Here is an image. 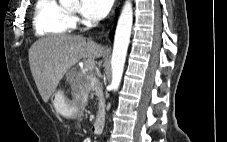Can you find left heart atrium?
Listing matches in <instances>:
<instances>
[{
    "label": "left heart atrium",
    "instance_id": "left-heart-atrium-1",
    "mask_svg": "<svg viewBox=\"0 0 227 142\" xmlns=\"http://www.w3.org/2000/svg\"><path fill=\"white\" fill-rule=\"evenodd\" d=\"M113 0H81V13L93 20L104 18L112 6Z\"/></svg>",
    "mask_w": 227,
    "mask_h": 142
}]
</instances>
